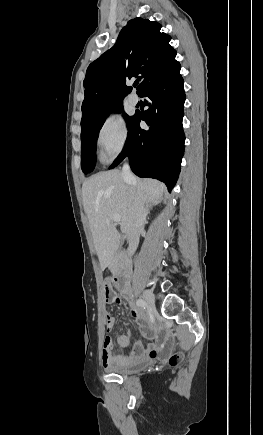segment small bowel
<instances>
[{"mask_svg": "<svg viewBox=\"0 0 263 435\" xmlns=\"http://www.w3.org/2000/svg\"><path fill=\"white\" fill-rule=\"evenodd\" d=\"M110 290L117 296L116 292L112 289L108 283ZM106 303L111 304L118 301H108ZM132 315L136 319V322L142 332L144 342L138 341L130 347V334H122L117 338V344L122 349L130 347L128 353L115 354L113 350H102V364L104 368H110L116 365H122L140 361L142 359H156L159 356L160 351L165 347V344L160 342L161 336L154 326V323L148 315L140 311L135 307H131ZM114 318L110 315H106V327L108 330L114 326Z\"/></svg>", "mask_w": 263, "mask_h": 435, "instance_id": "c3829d8e", "label": "small bowel"}]
</instances>
